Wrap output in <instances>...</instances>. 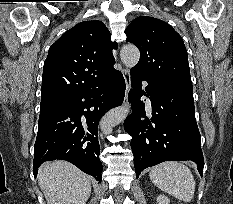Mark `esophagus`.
I'll return each mask as SVG.
<instances>
[{
	"label": "esophagus",
	"mask_w": 233,
	"mask_h": 204,
	"mask_svg": "<svg viewBox=\"0 0 233 204\" xmlns=\"http://www.w3.org/2000/svg\"><path fill=\"white\" fill-rule=\"evenodd\" d=\"M122 74H123L125 84H126V91H125L123 105L127 107L128 106V93L131 89V77H130L129 70L127 68L122 69Z\"/></svg>",
	"instance_id": "obj_1"
}]
</instances>
